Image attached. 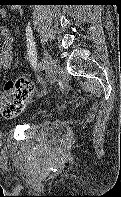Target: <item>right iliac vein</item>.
<instances>
[{
    "mask_svg": "<svg viewBox=\"0 0 121 197\" xmlns=\"http://www.w3.org/2000/svg\"><path fill=\"white\" fill-rule=\"evenodd\" d=\"M43 63L46 75L51 76L54 69V61L45 48L43 49Z\"/></svg>",
    "mask_w": 121,
    "mask_h": 197,
    "instance_id": "obj_1",
    "label": "right iliac vein"
}]
</instances>
